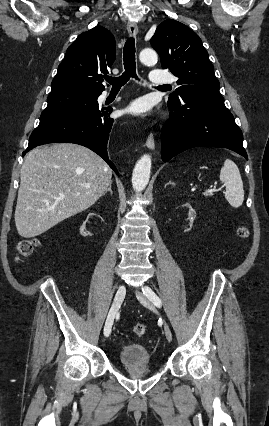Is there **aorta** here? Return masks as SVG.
<instances>
[{
  "label": "aorta",
  "instance_id": "aorta-1",
  "mask_svg": "<svg viewBox=\"0 0 269 426\" xmlns=\"http://www.w3.org/2000/svg\"><path fill=\"white\" fill-rule=\"evenodd\" d=\"M140 62L152 66L158 61L157 53L153 49H143L139 54ZM151 157L143 155L136 163L132 173V186L136 192H141L147 186L150 179Z\"/></svg>",
  "mask_w": 269,
  "mask_h": 426
}]
</instances>
